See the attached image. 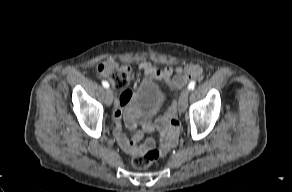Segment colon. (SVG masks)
I'll list each match as a JSON object with an SVG mask.
<instances>
[{"label": "colon", "instance_id": "obj_1", "mask_svg": "<svg viewBox=\"0 0 292 192\" xmlns=\"http://www.w3.org/2000/svg\"><path fill=\"white\" fill-rule=\"evenodd\" d=\"M97 71L107 77L111 84L119 90L125 89L131 80V70L125 64H101L97 67ZM159 154L157 149L151 148L146 153L135 156L132 159V164L137 169H145L159 157Z\"/></svg>", "mask_w": 292, "mask_h": 192}]
</instances>
